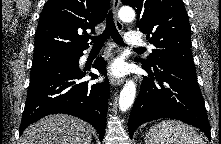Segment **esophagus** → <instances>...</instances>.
Instances as JSON below:
<instances>
[{
	"instance_id": "esophagus-1",
	"label": "esophagus",
	"mask_w": 221,
	"mask_h": 144,
	"mask_svg": "<svg viewBox=\"0 0 221 144\" xmlns=\"http://www.w3.org/2000/svg\"><path fill=\"white\" fill-rule=\"evenodd\" d=\"M120 5V0H112V8H113V13H114V18H115V24L116 27L119 31L123 30V24L122 22L119 20L117 12H118V8ZM124 79L122 78H116L114 76L110 77V83L112 86H120L121 84H123Z\"/></svg>"
}]
</instances>
